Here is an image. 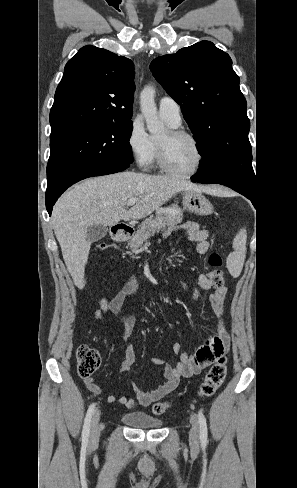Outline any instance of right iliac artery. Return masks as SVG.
Wrapping results in <instances>:
<instances>
[{
    "mask_svg": "<svg viewBox=\"0 0 297 488\" xmlns=\"http://www.w3.org/2000/svg\"><path fill=\"white\" fill-rule=\"evenodd\" d=\"M94 411H95V404H92V405H90V407L86 413L85 420H84L83 431H82V441L84 443H87L88 439H89L90 423H91V419H92V416L94 414Z\"/></svg>",
    "mask_w": 297,
    "mask_h": 488,
    "instance_id": "1",
    "label": "right iliac artery"
}]
</instances>
